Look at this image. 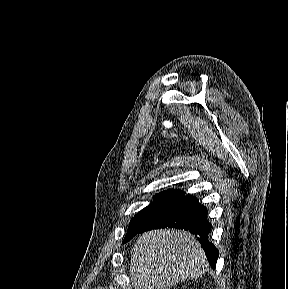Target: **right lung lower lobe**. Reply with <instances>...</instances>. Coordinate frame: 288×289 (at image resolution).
<instances>
[{"label":"right lung lower lobe","instance_id":"right-lung-lower-lobe-1","mask_svg":"<svg viewBox=\"0 0 288 289\" xmlns=\"http://www.w3.org/2000/svg\"><path fill=\"white\" fill-rule=\"evenodd\" d=\"M166 227L190 230L197 235L211 267L215 268L219 252L212 242L208 241L211 224L207 220V208L201 205L195 196H184L175 206L148 223L138 233Z\"/></svg>","mask_w":288,"mask_h":289}]
</instances>
